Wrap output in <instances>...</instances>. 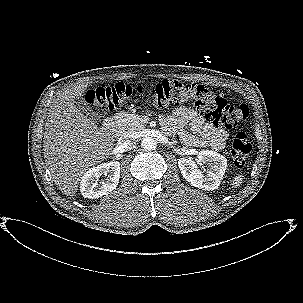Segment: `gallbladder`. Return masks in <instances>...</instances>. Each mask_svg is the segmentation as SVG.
<instances>
[{"instance_id": "obj_1", "label": "gallbladder", "mask_w": 303, "mask_h": 303, "mask_svg": "<svg viewBox=\"0 0 303 303\" xmlns=\"http://www.w3.org/2000/svg\"><path fill=\"white\" fill-rule=\"evenodd\" d=\"M75 106L82 115L88 117L94 122L100 120V115L92 111L91 107L83 97H78L75 99Z\"/></svg>"}]
</instances>
